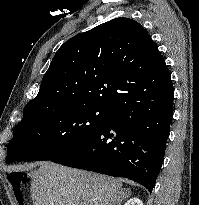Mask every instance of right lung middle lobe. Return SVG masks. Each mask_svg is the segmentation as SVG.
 I'll use <instances>...</instances> for the list:
<instances>
[{
    "mask_svg": "<svg viewBox=\"0 0 199 205\" xmlns=\"http://www.w3.org/2000/svg\"><path fill=\"white\" fill-rule=\"evenodd\" d=\"M109 113V109L72 103L26 107L7 146L6 163L64 156L103 129Z\"/></svg>",
    "mask_w": 199,
    "mask_h": 205,
    "instance_id": "1",
    "label": "right lung middle lobe"
}]
</instances>
